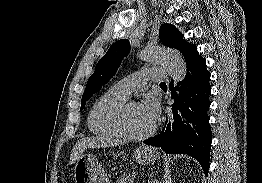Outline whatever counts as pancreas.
Masks as SVG:
<instances>
[{"label":"pancreas","mask_w":262,"mask_h":183,"mask_svg":"<svg viewBox=\"0 0 262 183\" xmlns=\"http://www.w3.org/2000/svg\"><path fill=\"white\" fill-rule=\"evenodd\" d=\"M116 183H134L132 180V177L130 175H121L118 180L116 181Z\"/></svg>","instance_id":"cf45deb5"}]
</instances>
